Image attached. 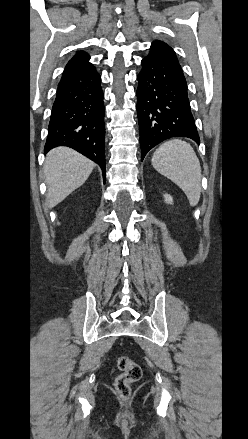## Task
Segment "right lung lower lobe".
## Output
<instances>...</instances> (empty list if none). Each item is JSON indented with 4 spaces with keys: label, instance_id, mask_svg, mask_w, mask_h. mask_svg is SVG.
<instances>
[{
    "label": "right lung lower lobe",
    "instance_id": "obj_1",
    "mask_svg": "<svg viewBox=\"0 0 248 439\" xmlns=\"http://www.w3.org/2000/svg\"><path fill=\"white\" fill-rule=\"evenodd\" d=\"M100 83L92 65L61 78L44 151L71 147L96 162L105 180V111Z\"/></svg>",
    "mask_w": 248,
    "mask_h": 439
}]
</instances>
